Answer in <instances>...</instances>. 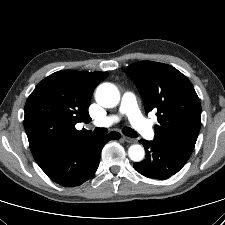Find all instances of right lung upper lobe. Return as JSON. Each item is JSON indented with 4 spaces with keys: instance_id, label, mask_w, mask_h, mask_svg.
<instances>
[{
    "instance_id": "cb5924a9",
    "label": "right lung upper lobe",
    "mask_w": 225,
    "mask_h": 225,
    "mask_svg": "<svg viewBox=\"0 0 225 225\" xmlns=\"http://www.w3.org/2000/svg\"><path fill=\"white\" fill-rule=\"evenodd\" d=\"M107 76L108 72L63 70L36 86L24 108V128L34 158L62 141L93 134L76 130L75 124L91 121L87 108L93 91Z\"/></svg>"
}]
</instances>
